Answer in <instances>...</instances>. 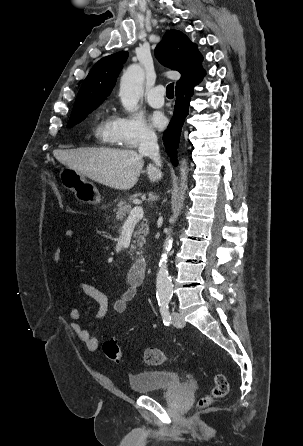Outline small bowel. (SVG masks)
Wrapping results in <instances>:
<instances>
[{"label":"small bowel","instance_id":"1","mask_svg":"<svg viewBox=\"0 0 303 446\" xmlns=\"http://www.w3.org/2000/svg\"><path fill=\"white\" fill-rule=\"evenodd\" d=\"M64 235L67 239H72L76 236V231L72 228H68L65 230ZM62 260V250L60 247L55 248L53 252V261L55 265L59 266ZM80 291L90 299H92L97 304V311L93 316L94 320H102L106 317L109 303L108 298L104 292H102L96 286L87 283L80 282L79 283ZM137 293V287L135 285L127 288L119 298L113 304V310L115 314H122L126 311L128 303L132 301ZM69 316L72 320V330L79 337V339L85 344L86 348L89 351H95L98 347L97 338L89 332L81 323V315L76 308H72L69 312ZM108 320L107 322H109Z\"/></svg>","mask_w":303,"mask_h":446}]
</instances>
